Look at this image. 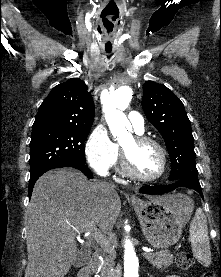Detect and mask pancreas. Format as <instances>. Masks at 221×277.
Returning a JSON list of instances; mask_svg holds the SVG:
<instances>
[{
  "mask_svg": "<svg viewBox=\"0 0 221 277\" xmlns=\"http://www.w3.org/2000/svg\"><path fill=\"white\" fill-rule=\"evenodd\" d=\"M107 255H105L104 263L100 270L98 277H118L114 272L115 266V250L113 244L109 242L108 246L104 248ZM174 256L168 250L161 251L158 255L149 257L148 261L153 267L158 269L167 268L173 264Z\"/></svg>",
  "mask_w": 221,
  "mask_h": 277,
  "instance_id": "1",
  "label": "pancreas"
}]
</instances>
